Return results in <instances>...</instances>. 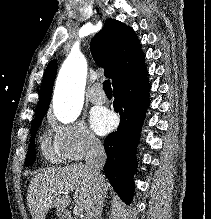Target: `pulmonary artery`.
<instances>
[{
  "instance_id": "e3ab8cb5",
  "label": "pulmonary artery",
  "mask_w": 211,
  "mask_h": 219,
  "mask_svg": "<svg viewBox=\"0 0 211 219\" xmlns=\"http://www.w3.org/2000/svg\"><path fill=\"white\" fill-rule=\"evenodd\" d=\"M99 84L94 85L88 94V99L93 104H103L106 101V95L103 91L99 90Z\"/></svg>"
}]
</instances>
